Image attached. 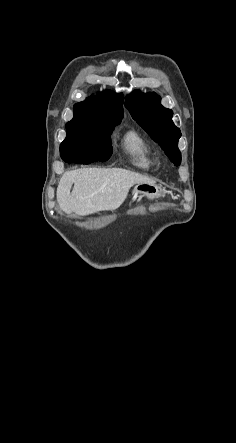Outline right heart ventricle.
<instances>
[{
	"label": "right heart ventricle",
	"instance_id": "right-heart-ventricle-1",
	"mask_svg": "<svg viewBox=\"0 0 236 443\" xmlns=\"http://www.w3.org/2000/svg\"><path fill=\"white\" fill-rule=\"evenodd\" d=\"M121 147L136 168L150 170L154 166L155 158L152 148L138 131H127L121 139Z\"/></svg>",
	"mask_w": 236,
	"mask_h": 443
}]
</instances>
